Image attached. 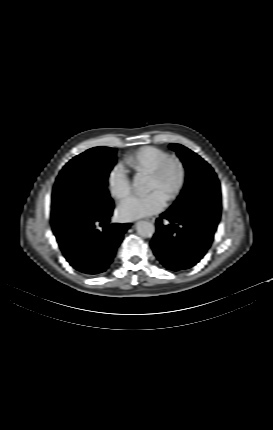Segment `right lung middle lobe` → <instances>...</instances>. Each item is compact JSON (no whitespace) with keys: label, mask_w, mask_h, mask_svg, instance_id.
<instances>
[{"label":"right lung middle lobe","mask_w":273,"mask_h":430,"mask_svg":"<svg viewBox=\"0 0 273 430\" xmlns=\"http://www.w3.org/2000/svg\"><path fill=\"white\" fill-rule=\"evenodd\" d=\"M116 149L95 147L70 160L59 173L52 194L54 233L90 221L113 210L107 190Z\"/></svg>","instance_id":"1"}]
</instances>
